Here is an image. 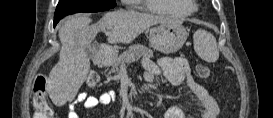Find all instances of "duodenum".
<instances>
[{
    "mask_svg": "<svg viewBox=\"0 0 273 118\" xmlns=\"http://www.w3.org/2000/svg\"><path fill=\"white\" fill-rule=\"evenodd\" d=\"M109 58L107 54H101L95 58V64L98 67H104L108 64Z\"/></svg>",
    "mask_w": 273,
    "mask_h": 118,
    "instance_id": "obj_1",
    "label": "duodenum"
}]
</instances>
